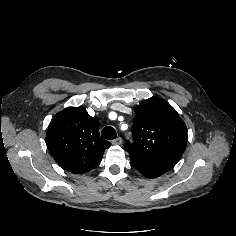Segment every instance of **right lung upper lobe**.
<instances>
[{"label": "right lung upper lobe", "instance_id": "1", "mask_svg": "<svg viewBox=\"0 0 236 236\" xmlns=\"http://www.w3.org/2000/svg\"><path fill=\"white\" fill-rule=\"evenodd\" d=\"M46 144L59 166L75 174L96 167L111 145L100 137L98 121L84 107H68L57 113L49 124Z\"/></svg>", "mask_w": 236, "mask_h": 236}]
</instances>
